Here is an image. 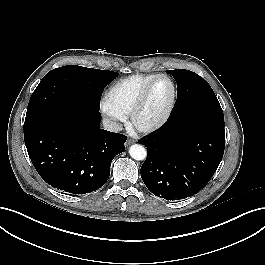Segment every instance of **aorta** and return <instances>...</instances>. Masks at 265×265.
Segmentation results:
<instances>
[{"label":"aorta","mask_w":265,"mask_h":265,"mask_svg":"<svg viewBox=\"0 0 265 265\" xmlns=\"http://www.w3.org/2000/svg\"><path fill=\"white\" fill-rule=\"evenodd\" d=\"M129 154L134 160L142 161L147 156L146 149L139 144H134L129 148Z\"/></svg>","instance_id":"aorta-1"}]
</instances>
